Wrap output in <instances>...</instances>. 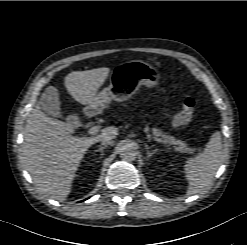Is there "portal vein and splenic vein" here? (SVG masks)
Masks as SVG:
<instances>
[{
    "mask_svg": "<svg viewBox=\"0 0 247 245\" xmlns=\"http://www.w3.org/2000/svg\"><path fill=\"white\" fill-rule=\"evenodd\" d=\"M99 129H100L99 126H94V127L89 129L88 134L89 135H95V134H97L99 132ZM153 139L155 141H157L158 143L166 144L162 139H160L158 137H153Z\"/></svg>",
    "mask_w": 247,
    "mask_h": 245,
    "instance_id": "obj_1",
    "label": "portal vein and splenic vein"
}]
</instances>
